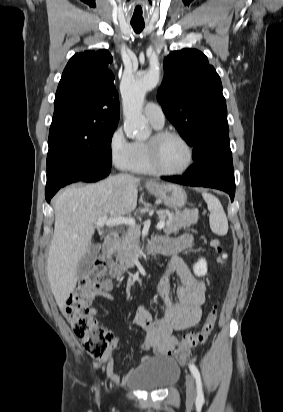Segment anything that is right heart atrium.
Returning <instances> with one entry per match:
<instances>
[{
    "instance_id": "d8ad5b80",
    "label": "right heart atrium",
    "mask_w": 283,
    "mask_h": 412,
    "mask_svg": "<svg viewBox=\"0 0 283 412\" xmlns=\"http://www.w3.org/2000/svg\"><path fill=\"white\" fill-rule=\"evenodd\" d=\"M108 150L114 166L118 169H128L132 158V143L126 138L123 128H115L108 141Z\"/></svg>"
}]
</instances>
